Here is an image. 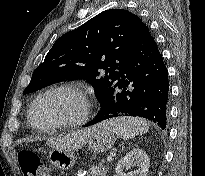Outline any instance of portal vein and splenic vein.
I'll return each mask as SVG.
<instances>
[{
	"label": "portal vein and splenic vein",
	"mask_w": 205,
	"mask_h": 176,
	"mask_svg": "<svg viewBox=\"0 0 205 176\" xmlns=\"http://www.w3.org/2000/svg\"><path fill=\"white\" fill-rule=\"evenodd\" d=\"M112 159H113V158H112V155H110V156L107 157V161H108V162H111Z\"/></svg>",
	"instance_id": "portal-vein-and-splenic-vein-1"
}]
</instances>
